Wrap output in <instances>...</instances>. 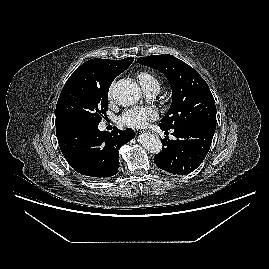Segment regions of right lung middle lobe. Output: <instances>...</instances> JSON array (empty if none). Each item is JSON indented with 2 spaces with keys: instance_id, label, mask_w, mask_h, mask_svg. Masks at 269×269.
<instances>
[{
  "instance_id": "right-lung-middle-lobe-1",
  "label": "right lung middle lobe",
  "mask_w": 269,
  "mask_h": 269,
  "mask_svg": "<svg viewBox=\"0 0 269 269\" xmlns=\"http://www.w3.org/2000/svg\"><path fill=\"white\" fill-rule=\"evenodd\" d=\"M109 87L69 78L56 105V125H99L108 110Z\"/></svg>"
}]
</instances>
